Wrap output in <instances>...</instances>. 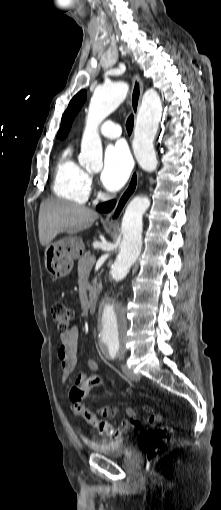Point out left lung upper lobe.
<instances>
[{"label":"left lung upper lobe","mask_w":221,"mask_h":510,"mask_svg":"<svg viewBox=\"0 0 221 510\" xmlns=\"http://www.w3.org/2000/svg\"><path fill=\"white\" fill-rule=\"evenodd\" d=\"M86 100V90H81L77 93L69 103L67 110L64 112L61 120L60 130L58 131V137L60 139L65 138L71 128L72 122L83 106Z\"/></svg>","instance_id":"1"}]
</instances>
